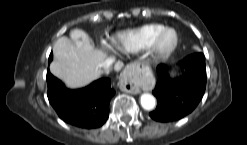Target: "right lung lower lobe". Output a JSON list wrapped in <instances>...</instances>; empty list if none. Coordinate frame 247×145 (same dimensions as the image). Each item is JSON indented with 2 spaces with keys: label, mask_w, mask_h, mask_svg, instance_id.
<instances>
[{
  "label": "right lung lower lobe",
  "mask_w": 247,
  "mask_h": 145,
  "mask_svg": "<svg viewBox=\"0 0 247 145\" xmlns=\"http://www.w3.org/2000/svg\"><path fill=\"white\" fill-rule=\"evenodd\" d=\"M52 61V53L49 63ZM110 79L101 78L88 87L69 90L47 71L48 99L59 117L81 128L102 126L109 116V102L114 95Z\"/></svg>",
  "instance_id": "right-lung-lower-lobe-1"
}]
</instances>
